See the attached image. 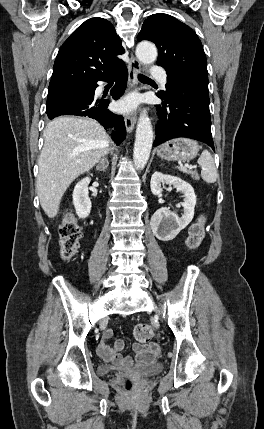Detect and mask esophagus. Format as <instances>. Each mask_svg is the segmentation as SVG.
Returning <instances> with one entry per match:
<instances>
[{"label": "esophagus", "instance_id": "obj_1", "mask_svg": "<svg viewBox=\"0 0 264 429\" xmlns=\"http://www.w3.org/2000/svg\"><path fill=\"white\" fill-rule=\"evenodd\" d=\"M139 71H140V63L133 55H131L130 64L128 67L129 90H132L137 86V84H138L137 76H138ZM124 121H125V126L127 129V132L131 133L134 130V127L136 124L135 114L125 115Z\"/></svg>", "mask_w": 264, "mask_h": 429}]
</instances>
